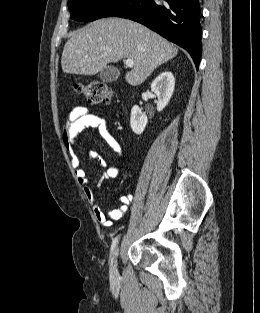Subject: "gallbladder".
I'll return each mask as SVG.
<instances>
[{
  "label": "gallbladder",
  "mask_w": 260,
  "mask_h": 313,
  "mask_svg": "<svg viewBox=\"0 0 260 313\" xmlns=\"http://www.w3.org/2000/svg\"><path fill=\"white\" fill-rule=\"evenodd\" d=\"M119 74L117 68L108 66L99 73V78L105 83H112L118 79Z\"/></svg>",
  "instance_id": "1"
}]
</instances>
